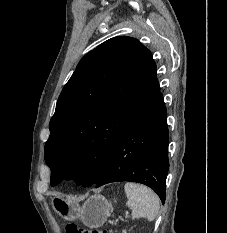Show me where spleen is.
Here are the masks:
<instances>
[{
	"instance_id": "spleen-1",
	"label": "spleen",
	"mask_w": 227,
	"mask_h": 233,
	"mask_svg": "<svg viewBox=\"0 0 227 233\" xmlns=\"http://www.w3.org/2000/svg\"><path fill=\"white\" fill-rule=\"evenodd\" d=\"M124 190L127 196L126 205L132 209V218H146L153 221L159 212V199L148 187L126 183Z\"/></svg>"
}]
</instances>
